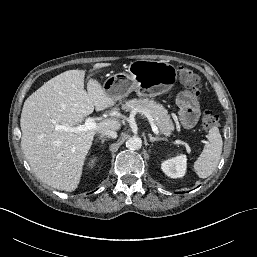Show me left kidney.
<instances>
[{
	"mask_svg": "<svg viewBox=\"0 0 257 257\" xmlns=\"http://www.w3.org/2000/svg\"><path fill=\"white\" fill-rule=\"evenodd\" d=\"M163 172L170 178H181L185 175L187 168V158L185 155H180L161 164Z\"/></svg>",
	"mask_w": 257,
	"mask_h": 257,
	"instance_id": "5707ae66",
	"label": "left kidney"
}]
</instances>
